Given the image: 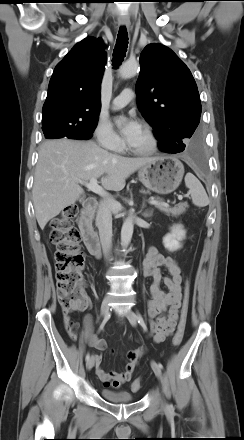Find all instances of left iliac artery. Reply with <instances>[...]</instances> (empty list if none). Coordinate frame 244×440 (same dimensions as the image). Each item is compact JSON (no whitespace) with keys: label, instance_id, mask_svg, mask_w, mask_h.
I'll return each mask as SVG.
<instances>
[{"label":"left iliac artery","instance_id":"1","mask_svg":"<svg viewBox=\"0 0 244 440\" xmlns=\"http://www.w3.org/2000/svg\"><path fill=\"white\" fill-rule=\"evenodd\" d=\"M137 320H138V323H139L144 329H146V325H145L144 319H143L142 315H141L139 312H137ZM157 365H158V367H159L160 369H163V366H162L161 363H158Z\"/></svg>","mask_w":244,"mask_h":440}]
</instances>
